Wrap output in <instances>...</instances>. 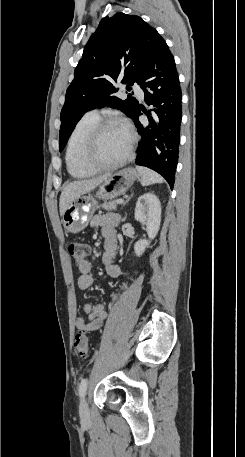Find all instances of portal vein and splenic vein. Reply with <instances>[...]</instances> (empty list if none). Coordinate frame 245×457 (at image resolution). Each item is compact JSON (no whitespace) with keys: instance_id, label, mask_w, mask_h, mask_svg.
Here are the masks:
<instances>
[{"instance_id":"portal-vein-and-splenic-vein-1","label":"portal vein and splenic vein","mask_w":245,"mask_h":457,"mask_svg":"<svg viewBox=\"0 0 245 457\" xmlns=\"http://www.w3.org/2000/svg\"><path fill=\"white\" fill-rule=\"evenodd\" d=\"M117 202H123V198H118Z\"/></svg>"}]
</instances>
